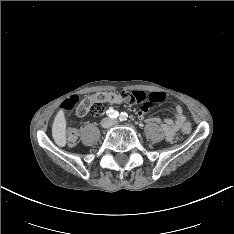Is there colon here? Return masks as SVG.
<instances>
[{
  "instance_id": "obj_1",
  "label": "colon",
  "mask_w": 234,
  "mask_h": 234,
  "mask_svg": "<svg viewBox=\"0 0 234 234\" xmlns=\"http://www.w3.org/2000/svg\"><path fill=\"white\" fill-rule=\"evenodd\" d=\"M165 99L163 92H153L147 94L142 91H116V92H97L92 95L80 97L73 96L66 100L64 108L67 110L76 109L78 116H99L104 110L106 103H127L142 104V107L149 108L152 104L162 102ZM183 133L188 134L191 131V124L185 123L182 128ZM79 138V132L75 128L67 131V144L74 146Z\"/></svg>"
}]
</instances>
